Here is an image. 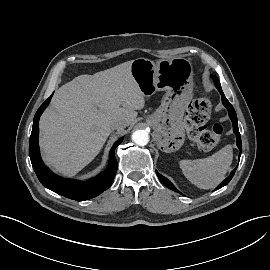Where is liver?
<instances>
[{
  "label": "liver",
  "instance_id": "6515ba94",
  "mask_svg": "<svg viewBox=\"0 0 270 270\" xmlns=\"http://www.w3.org/2000/svg\"><path fill=\"white\" fill-rule=\"evenodd\" d=\"M132 61L80 75L55 92L40 119V147L58 173L76 175L99 154L113 122L135 121L145 95L132 77Z\"/></svg>",
  "mask_w": 270,
  "mask_h": 270
}]
</instances>
